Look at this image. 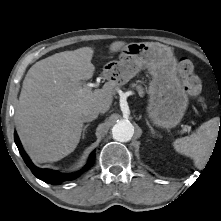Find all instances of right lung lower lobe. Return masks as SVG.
I'll return each instance as SVG.
<instances>
[{
    "label": "right lung lower lobe",
    "mask_w": 221,
    "mask_h": 221,
    "mask_svg": "<svg viewBox=\"0 0 221 221\" xmlns=\"http://www.w3.org/2000/svg\"><path fill=\"white\" fill-rule=\"evenodd\" d=\"M14 140H15V143H16V145L18 147V150H19L22 158L24 159L26 165L30 168L32 173L38 179H40V180H42V181H44L46 183H49V184H60L63 181L75 179L81 173H83L88 168H90V166H92V164L94 163L95 152H92V154L89 157L88 163L85 165V167L82 168L81 170L75 172V173L62 174V173H59L57 171H53V170H50V169H41V168H38V167L33 165L31 160L29 159L28 155L23 150L22 145L20 143V140H19L16 132L14 133Z\"/></svg>",
    "instance_id": "obj_1"
}]
</instances>
